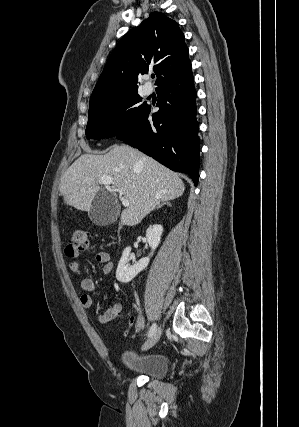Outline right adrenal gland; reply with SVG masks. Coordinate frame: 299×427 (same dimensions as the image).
Instances as JSON below:
<instances>
[{"label": "right adrenal gland", "mask_w": 299, "mask_h": 427, "mask_svg": "<svg viewBox=\"0 0 299 427\" xmlns=\"http://www.w3.org/2000/svg\"><path fill=\"white\" fill-rule=\"evenodd\" d=\"M165 204H167V205L171 206L170 202H166V201H164V202H161L160 204H158L156 208H157V209H158V208H161V207H162L163 205H165Z\"/></svg>", "instance_id": "right-adrenal-gland-1"}]
</instances>
